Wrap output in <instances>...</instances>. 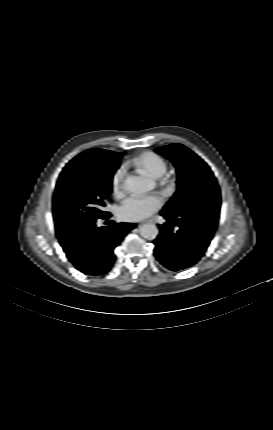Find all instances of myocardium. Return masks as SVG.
Returning a JSON list of instances; mask_svg holds the SVG:
<instances>
[{
    "label": "myocardium",
    "instance_id": "f54148a6",
    "mask_svg": "<svg viewBox=\"0 0 273 430\" xmlns=\"http://www.w3.org/2000/svg\"><path fill=\"white\" fill-rule=\"evenodd\" d=\"M159 184L165 188H169L172 184V180L169 175L164 173L161 177H159Z\"/></svg>",
    "mask_w": 273,
    "mask_h": 430
}]
</instances>
